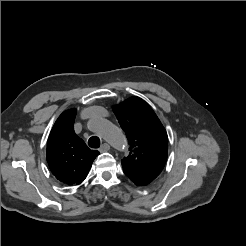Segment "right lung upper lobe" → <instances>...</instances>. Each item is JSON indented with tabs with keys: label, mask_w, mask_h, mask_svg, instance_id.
Instances as JSON below:
<instances>
[{
	"label": "right lung upper lobe",
	"mask_w": 246,
	"mask_h": 246,
	"mask_svg": "<svg viewBox=\"0 0 246 246\" xmlns=\"http://www.w3.org/2000/svg\"><path fill=\"white\" fill-rule=\"evenodd\" d=\"M76 109L63 112L47 141V162L57 180L80 184L87 176L98 151L90 150L74 132Z\"/></svg>",
	"instance_id": "right-lung-upper-lobe-1"
}]
</instances>
